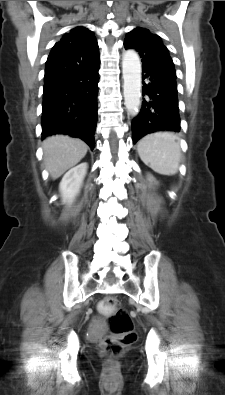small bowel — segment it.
<instances>
[{
	"label": "small bowel",
	"instance_id": "c3829d8e",
	"mask_svg": "<svg viewBox=\"0 0 225 395\" xmlns=\"http://www.w3.org/2000/svg\"><path fill=\"white\" fill-rule=\"evenodd\" d=\"M99 307H100L101 310H104L103 303H100ZM109 310H110V313H114V311L118 310V305L117 304H110L109 305Z\"/></svg>",
	"mask_w": 225,
	"mask_h": 395
}]
</instances>
